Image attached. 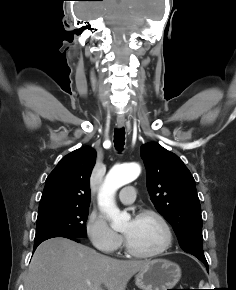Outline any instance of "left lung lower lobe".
<instances>
[{"instance_id":"0a47b994","label":"left lung lower lobe","mask_w":236,"mask_h":290,"mask_svg":"<svg viewBox=\"0 0 236 290\" xmlns=\"http://www.w3.org/2000/svg\"><path fill=\"white\" fill-rule=\"evenodd\" d=\"M201 262H203V261H201ZM203 263L205 264L206 268L208 269V264H207V263H205V262H203Z\"/></svg>"}]
</instances>
